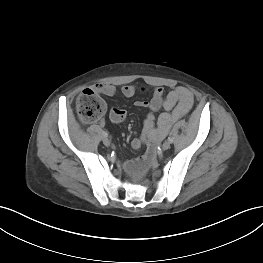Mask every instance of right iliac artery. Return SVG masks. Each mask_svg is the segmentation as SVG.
I'll return each mask as SVG.
<instances>
[{"label":"right iliac artery","instance_id":"1","mask_svg":"<svg viewBox=\"0 0 263 263\" xmlns=\"http://www.w3.org/2000/svg\"><path fill=\"white\" fill-rule=\"evenodd\" d=\"M103 136L108 137V133L106 131H103Z\"/></svg>","mask_w":263,"mask_h":263}]
</instances>
